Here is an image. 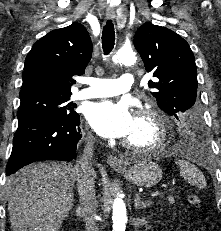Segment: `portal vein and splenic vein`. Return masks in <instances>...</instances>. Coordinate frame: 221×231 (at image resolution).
I'll use <instances>...</instances> for the list:
<instances>
[{
  "mask_svg": "<svg viewBox=\"0 0 221 231\" xmlns=\"http://www.w3.org/2000/svg\"><path fill=\"white\" fill-rule=\"evenodd\" d=\"M160 194H161V192L156 191V192L151 193V197L155 198V197L159 196Z\"/></svg>",
  "mask_w": 221,
  "mask_h": 231,
  "instance_id": "1",
  "label": "portal vein and splenic vein"
}]
</instances>
